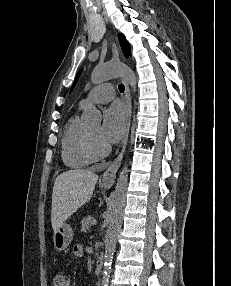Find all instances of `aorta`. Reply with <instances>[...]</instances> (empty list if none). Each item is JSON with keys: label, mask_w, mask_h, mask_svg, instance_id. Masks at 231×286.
<instances>
[{"label": "aorta", "mask_w": 231, "mask_h": 286, "mask_svg": "<svg viewBox=\"0 0 231 286\" xmlns=\"http://www.w3.org/2000/svg\"><path fill=\"white\" fill-rule=\"evenodd\" d=\"M114 77H122L135 91L137 77L134 71L121 63L109 62L104 65H98L91 74V81L95 84ZM84 121L90 125H99L101 122V113L93 105L89 106L83 116ZM128 185V166L124 165L117 180L115 192L113 194L112 207L110 213V223L105 236V254L104 268L102 271V286H108L113 254L116 248L117 236L120 232L124 208L126 204V193Z\"/></svg>", "instance_id": "1"}]
</instances>
